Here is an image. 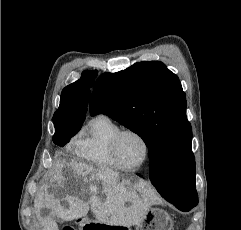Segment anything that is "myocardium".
<instances>
[{"mask_svg":"<svg viewBox=\"0 0 241 230\" xmlns=\"http://www.w3.org/2000/svg\"><path fill=\"white\" fill-rule=\"evenodd\" d=\"M126 134H133L137 136L141 140L145 148V155L143 160L135 166H129V165L123 164L118 157V146H119L120 140ZM110 152H111L112 159L115 162L117 167L124 170H137L143 167L145 163L148 161L150 156V145L147 139L144 137V135L141 134L139 131L132 128H122V129H119L112 137L111 143H110Z\"/></svg>","mask_w":241,"mask_h":230,"instance_id":"myocardium-1","label":"myocardium"}]
</instances>
